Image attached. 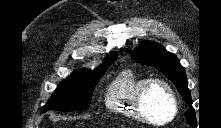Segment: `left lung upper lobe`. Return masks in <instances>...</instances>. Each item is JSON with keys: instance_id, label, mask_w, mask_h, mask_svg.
Listing matches in <instances>:
<instances>
[{"instance_id": "5c2ea615", "label": "left lung upper lobe", "mask_w": 221, "mask_h": 128, "mask_svg": "<svg viewBox=\"0 0 221 128\" xmlns=\"http://www.w3.org/2000/svg\"><path fill=\"white\" fill-rule=\"evenodd\" d=\"M131 56L137 62L151 65L162 72L176 85L186 103L192 105L185 70L176 55L166 51L160 44L144 42L139 46V51H132ZM185 117L193 127L196 126V115L193 109L186 112Z\"/></svg>"}]
</instances>
